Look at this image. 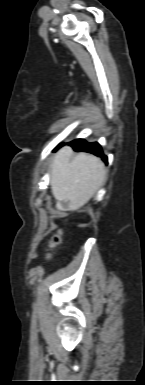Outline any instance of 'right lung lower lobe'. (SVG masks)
Masks as SVG:
<instances>
[{
    "mask_svg": "<svg viewBox=\"0 0 145 385\" xmlns=\"http://www.w3.org/2000/svg\"><path fill=\"white\" fill-rule=\"evenodd\" d=\"M77 152L84 151L92 153L102 158L107 163V157L103 154L101 146L98 143H87L83 139H77L69 143Z\"/></svg>",
    "mask_w": 145,
    "mask_h": 385,
    "instance_id": "98d812e1",
    "label": "right lung lower lobe"
}]
</instances>
